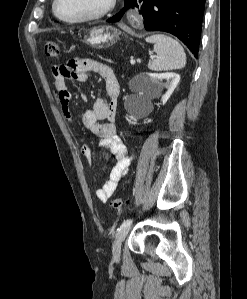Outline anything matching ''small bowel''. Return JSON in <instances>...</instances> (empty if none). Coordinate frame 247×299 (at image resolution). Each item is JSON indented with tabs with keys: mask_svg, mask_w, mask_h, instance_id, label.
Wrapping results in <instances>:
<instances>
[{
	"mask_svg": "<svg viewBox=\"0 0 247 299\" xmlns=\"http://www.w3.org/2000/svg\"><path fill=\"white\" fill-rule=\"evenodd\" d=\"M89 73H98L104 79L107 99H98L93 110H86L81 117V123L98 138V146L112 153L116 158L108 179L96 191L97 198L105 203L126 175L132 161V156L116 133L115 119L120 94L119 83L112 68L92 59L70 61L52 67L61 110L70 122H73L70 109L71 93L66 81L86 82ZM81 154L91 166L92 149L89 144L82 147Z\"/></svg>",
	"mask_w": 247,
	"mask_h": 299,
	"instance_id": "c3829d8e",
	"label": "small bowel"
}]
</instances>
